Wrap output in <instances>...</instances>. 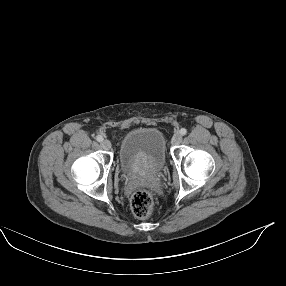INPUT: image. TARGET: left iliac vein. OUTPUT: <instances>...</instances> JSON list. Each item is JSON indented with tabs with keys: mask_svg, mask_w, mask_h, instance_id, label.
Masks as SVG:
<instances>
[{
	"mask_svg": "<svg viewBox=\"0 0 286 286\" xmlns=\"http://www.w3.org/2000/svg\"><path fill=\"white\" fill-rule=\"evenodd\" d=\"M181 141H182V135L180 133L174 134V136L171 139V143L173 145H178L181 143Z\"/></svg>",
	"mask_w": 286,
	"mask_h": 286,
	"instance_id": "obj_1",
	"label": "left iliac vein"
}]
</instances>
